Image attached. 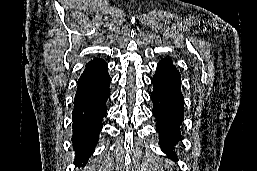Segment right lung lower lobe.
Segmentation results:
<instances>
[{
  "instance_id": "obj_1",
  "label": "right lung lower lobe",
  "mask_w": 257,
  "mask_h": 171,
  "mask_svg": "<svg viewBox=\"0 0 257 171\" xmlns=\"http://www.w3.org/2000/svg\"><path fill=\"white\" fill-rule=\"evenodd\" d=\"M111 77L103 59L90 61L78 80L74 98L72 143L76 153L75 165L82 166L95 150L107 112Z\"/></svg>"
}]
</instances>
